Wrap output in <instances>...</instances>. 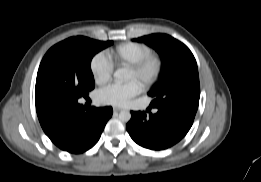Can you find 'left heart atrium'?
Listing matches in <instances>:
<instances>
[{"label":"left heart atrium","instance_id":"39dd6f15","mask_svg":"<svg viewBox=\"0 0 261 182\" xmlns=\"http://www.w3.org/2000/svg\"><path fill=\"white\" fill-rule=\"evenodd\" d=\"M141 90L142 85L136 80L123 85L111 84L98 91L97 99L101 104L122 107L126 106Z\"/></svg>","mask_w":261,"mask_h":182}]
</instances>
